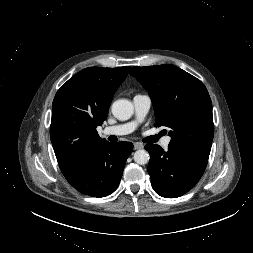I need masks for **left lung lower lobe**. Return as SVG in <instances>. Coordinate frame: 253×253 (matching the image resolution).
Wrapping results in <instances>:
<instances>
[{
  "label": "left lung lower lobe",
  "instance_id": "1",
  "mask_svg": "<svg viewBox=\"0 0 253 253\" xmlns=\"http://www.w3.org/2000/svg\"><path fill=\"white\" fill-rule=\"evenodd\" d=\"M150 153L148 173L151 184L162 197L176 198L191 190L203 175L208 160L169 147L165 152L159 145H146Z\"/></svg>",
  "mask_w": 253,
  "mask_h": 253
}]
</instances>
